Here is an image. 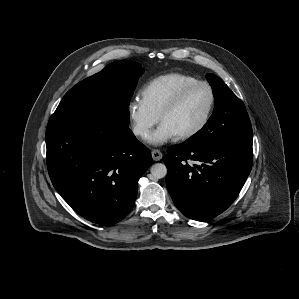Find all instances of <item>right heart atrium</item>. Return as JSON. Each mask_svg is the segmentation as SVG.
<instances>
[{"label":"right heart atrium","mask_w":299,"mask_h":299,"mask_svg":"<svg viewBox=\"0 0 299 299\" xmlns=\"http://www.w3.org/2000/svg\"><path fill=\"white\" fill-rule=\"evenodd\" d=\"M127 115L133 133L140 138L147 137L159 120V116L153 113L141 99H134L128 103Z\"/></svg>","instance_id":"1"}]
</instances>
